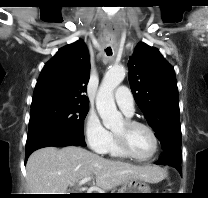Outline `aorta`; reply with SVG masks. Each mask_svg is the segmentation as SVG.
<instances>
[{
    "instance_id": "1",
    "label": "aorta",
    "mask_w": 208,
    "mask_h": 198,
    "mask_svg": "<svg viewBox=\"0 0 208 198\" xmlns=\"http://www.w3.org/2000/svg\"><path fill=\"white\" fill-rule=\"evenodd\" d=\"M123 66L111 67L104 75L96 97V108L106 128H113L121 123L123 117L117 110L114 90L125 78Z\"/></svg>"
}]
</instances>
